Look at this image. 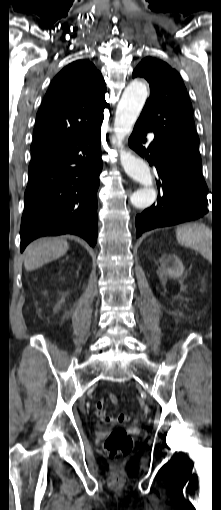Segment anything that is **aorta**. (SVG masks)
Returning a JSON list of instances; mask_svg holds the SVG:
<instances>
[{"label": "aorta", "instance_id": "aorta-1", "mask_svg": "<svg viewBox=\"0 0 221 510\" xmlns=\"http://www.w3.org/2000/svg\"><path fill=\"white\" fill-rule=\"evenodd\" d=\"M148 97V90L141 81L131 82L124 90L117 106L114 121L116 144L121 148L120 160L126 174L140 183L143 188L136 190L130 197L135 208L145 209L151 206L156 199V191L150 168L140 157L123 150L122 141L131 132L138 116Z\"/></svg>", "mask_w": 221, "mask_h": 510}]
</instances>
